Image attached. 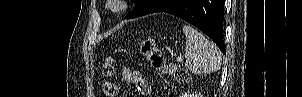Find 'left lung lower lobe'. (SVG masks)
I'll return each mask as SVG.
<instances>
[{
    "label": "left lung lower lobe",
    "instance_id": "1",
    "mask_svg": "<svg viewBox=\"0 0 302 97\" xmlns=\"http://www.w3.org/2000/svg\"><path fill=\"white\" fill-rule=\"evenodd\" d=\"M224 0H149L144 9L129 13L131 19L166 12L191 23L207 34L225 54L222 37Z\"/></svg>",
    "mask_w": 302,
    "mask_h": 97
}]
</instances>
